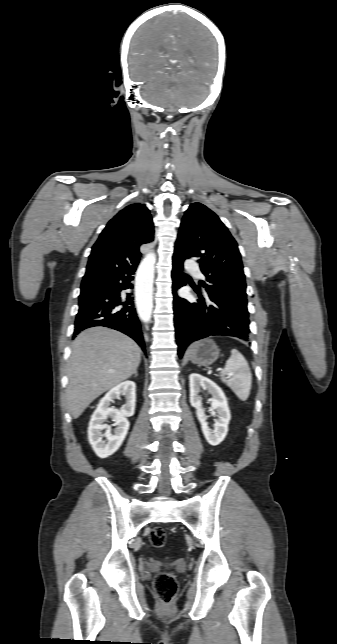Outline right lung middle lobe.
<instances>
[{
    "instance_id": "dd1d6c3e",
    "label": "right lung middle lobe",
    "mask_w": 337,
    "mask_h": 644,
    "mask_svg": "<svg viewBox=\"0 0 337 644\" xmlns=\"http://www.w3.org/2000/svg\"><path fill=\"white\" fill-rule=\"evenodd\" d=\"M102 284H103V281L82 283L81 284V293L79 295V299L91 294L93 291H95L97 288H99Z\"/></svg>"
}]
</instances>
